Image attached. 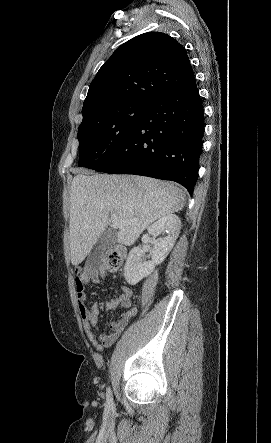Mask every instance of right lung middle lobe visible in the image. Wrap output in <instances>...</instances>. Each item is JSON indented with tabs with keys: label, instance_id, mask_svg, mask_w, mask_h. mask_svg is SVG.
Segmentation results:
<instances>
[{
	"label": "right lung middle lobe",
	"instance_id": "right-lung-middle-lobe-1",
	"mask_svg": "<svg viewBox=\"0 0 271 443\" xmlns=\"http://www.w3.org/2000/svg\"><path fill=\"white\" fill-rule=\"evenodd\" d=\"M149 102L123 101L100 108L79 126L78 166L96 169L110 159L138 124Z\"/></svg>",
	"mask_w": 271,
	"mask_h": 443
}]
</instances>
